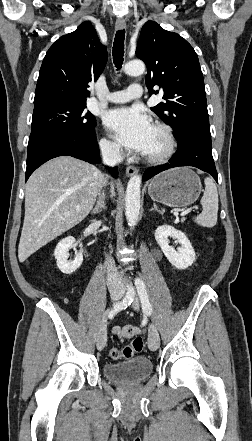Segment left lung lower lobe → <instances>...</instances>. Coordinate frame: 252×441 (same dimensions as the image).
I'll list each match as a JSON object with an SVG mask.
<instances>
[{"mask_svg": "<svg viewBox=\"0 0 252 441\" xmlns=\"http://www.w3.org/2000/svg\"><path fill=\"white\" fill-rule=\"evenodd\" d=\"M179 166L197 167L208 172L218 182V175L212 157L210 130L194 128L185 133L178 141V149L169 162L148 168L143 175V181L164 170Z\"/></svg>", "mask_w": 252, "mask_h": 441, "instance_id": "0a47b994", "label": "left lung lower lobe"}]
</instances>
